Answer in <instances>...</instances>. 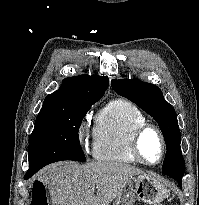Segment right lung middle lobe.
Instances as JSON below:
<instances>
[{
    "label": "right lung middle lobe",
    "instance_id": "right-lung-middle-lobe-1",
    "mask_svg": "<svg viewBox=\"0 0 199 205\" xmlns=\"http://www.w3.org/2000/svg\"><path fill=\"white\" fill-rule=\"evenodd\" d=\"M98 100L87 99L40 111L29 140L26 176H33L44 166L60 160L86 161L78 131L91 105Z\"/></svg>",
    "mask_w": 199,
    "mask_h": 205
}]
</instances>
